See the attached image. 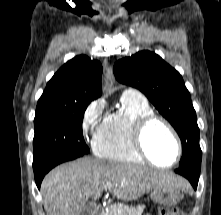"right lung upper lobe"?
<instances>
[{
    "mask_svg": "<svg viewBox=\"0 0 221 215\" xmlns=\"http://www.w3.org/2000/svg\"><path fill=\"white\" fill-rule=\"evenodd\" d=\"M102 65L85 55L65 63L47 83L38 104L90 103L101 96Z\"/></svg>",
    "mask_w": 221,
    "mask_h": 215,
    "instance_id": "cb5924a9",
    "label": "right lung upper lobe"
}]
</instances>
